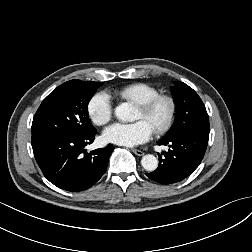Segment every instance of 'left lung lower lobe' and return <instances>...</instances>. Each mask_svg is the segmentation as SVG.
I'll use <instances>...</instances> for the list:
<instances>
[{
  "label": "left lung lower lobe",
  "mask_w": 252,
  "mask_h": 252,
  "mask_svg": "<svg viewBox=\"0 0 252 252\" xmlns=\"http://www.w3.org/2000/svg\"><path fill=\"white\" fill-rule=\"evenodd\" d=\"M209 132L190 131L170 139H160L159 145H168V152L159 156L158 168L146 175L161 184L179 182L199 166L205 154Z\"/></svg>",
  "instance_id": "1"
}]
</instances>
